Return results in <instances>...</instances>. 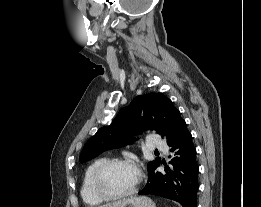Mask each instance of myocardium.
Here are the masks:
<instances>
[{
  "mask_svg": "<svg viewBox=\"0 0 261 207\" xmlns=\"http://www.w3.org/2000/svg\"><path fill=\"white\" fill-rule=\"evenodd\" d=\"M115 165H129V166L134 167L137 172V180H136L134 186L130 190L120 193V194H111V193L107 192L102 185V179H103L105 172L109 168H111ZM141 179H142L141 171L139 170V168L136 166V164L133 161L126 159V158H113V159H108L107 161L102 163L96 169V171L94 172V175H93V179H92V186H93L94 192L101 199H103L105 201H114V200L123 199V198L133 195L138 190V187L141 183Z\"/></svg>",
  "mask_w": 261,
  "mask_h": 207,
  "instance_id": "myocardium-1",
  "label": "myocardium"
}]
</instances>
